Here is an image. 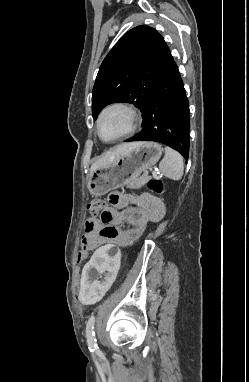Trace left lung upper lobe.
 Returning a JSON list of instances; mask_svg holds the SVG:
<instances>
[{"label": "left lung upper lobe", "mask_w": 249, "mask_h": 382, "mask_svg": "<svg viewBox=\"0 0 249 382\" xmlns=\"http://www.w3.org/2000/svg\"><path fill=\"white\" fill-rule=\"evenodd\" d=\"M174 62L163 37L146 25L125 33L107 54L92 93V116L108 104L128 102L145 113Z\"/></svg>", "instance_id": "left-lung-upper-lobe-1"}]
</instances>
